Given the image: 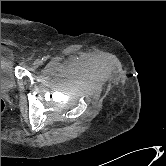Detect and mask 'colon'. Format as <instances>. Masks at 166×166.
<instances>
[{"label":"colon","instance_id":"5ec220e1","mask_svg":"<svg viewBox=\"0 0 166 166\" xmlns=\"http://www.w3.org/2000/svg\"><path fill=\"white\" fill-rule=\"evenodd\" d=\"M4 110H5V103H4V101L1 99V114H3Z\"/></svg>","mask_w":166,"mask_h":166}]
</instances>
